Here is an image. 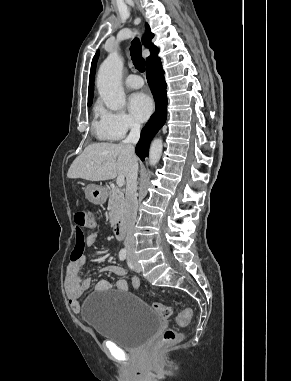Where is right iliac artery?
I'll list each match as a JSON object with an SVG mask.
<instances>
[{"instance_id": "1", "label": "right iliac artery", "mask_w": 291, "mask_h": 381, "mask_svg": "<svg viewBox=\"0 0 291 381\" xmlns=\"http://www.w3.org/2000/svg\"><path fill=\"white\" fill-rule=\"evenodd\" d=\"M126 255H127V252L126 250L122 249L120 252H119V259L121 261H124L126 259Z\"/></svg>"}]
</instances>
